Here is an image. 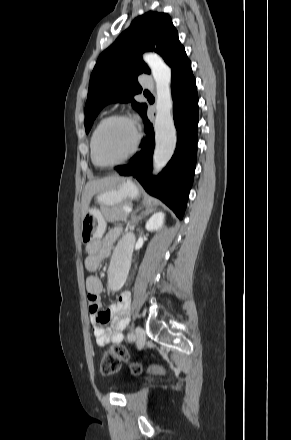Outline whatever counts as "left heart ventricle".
Segmentation results:
<instances>
[{
	"mask_svg": "<svg viewBox=\"0 0 291 440\" xmlns=\"http://www.w3.org/2000/svg\"><path fill=\"white\" fill-rule=\"evenodd\" d=\"M134 142L130 124L123 120L106 123L96 139V155L101 162H115L123 159Z\"/></svg>",
	"mask_w": 291,
	"mask_h": 440,
	"instance_id": "b2bd125f",
	"label": "left heart ventricle"
}]
</instances>
